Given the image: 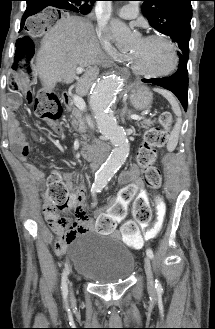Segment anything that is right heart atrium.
Here are the masks:
<instances>
[{
  "instance_id": "d8ad5b80",
  "label": "right heart atrium",
  "mask_w": 215,
  "mask_h": 329,
  "mask_svg": "<svg viewBox=\"0 0 215 329\" xmlns=\"http://www.w3.org/2000/svg\"><path fill=\"white\" fill-rule=\"evenodd\" d=\"M96 34L101 41L105 50L109 53L111 57L114 59H124L125 56L121 53L114 45L111 31L109 28L103 23L98 22L96 26Z\"/></svg>"
}]
</instances>
